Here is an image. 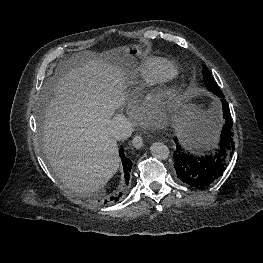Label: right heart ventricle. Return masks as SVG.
<instances>
[{
  "label": "right heart ventricle",
  "instance_id": "right-heart-ventricle-1",
  "mask_svg": "<svg viewBox=\"0 0 263 263\" xmlns=\"http://www.w3.org/2000/svg\"><path fill=\"white\" fill-rule=\"evenodd\" d=\"M144 77L147 82H153L159 78L171 77L173 75V70L169 69L168 71L161 70H148L144 71Z\"/></svg>",
  "mask_w": 263,
  "mask_h": 263
}]
</instances>
